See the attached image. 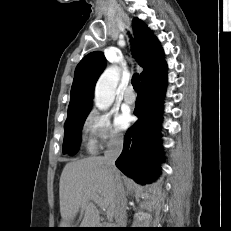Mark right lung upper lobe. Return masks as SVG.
<instances>
[{"instance_id": "obj_1", "label": "right lung upper lobe", "mask_w": 231, "mask_h": 231, "mask_svg": "<svg viewBox=\"0 0 231 231\" xmlns=\"http://www.w3.org/2000/svg\"><path fill=\"white\" fill-rule=\"evenodd\" d=\"M133 34L138 64L144 68L141 83L151 80L167 70L164 52L151 30L138 18L133 19ZM105 68L101 51L86 55L77 65L71 87L68 115L91 110L95 83Z\"/></svg>"}]
</instances>
